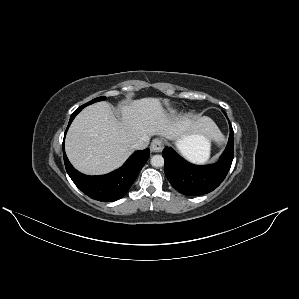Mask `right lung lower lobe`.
<instances>
[{"label": "right lung lower lobe", "mask_w": 299, "mask_h": 299, "mask_svg": "<svg viewBox=\"0 0 299 299\" xmlns=\"http://www.w3.org/2000/svg\"><path fill=\"white\" fill-rule=\"evenodd\" d=\"M84 107L85 106L82 105L72 113L66 132L75 116ZM63 157L67 173L83 193L98 201L112 202L122 198L128 192L142 167L150 157V150L145 149L134 152L122 167L101 176L84 175L71 165L65 152H63Z\"/></svg>", "instance_id": "1"}]
</instances>
